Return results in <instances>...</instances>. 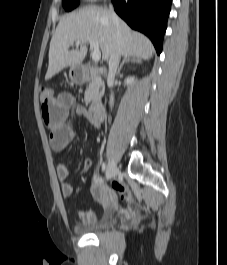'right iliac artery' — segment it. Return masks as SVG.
Listing matches in <instances>:
<instances>
[{
  "label": "right iliac artery",
  "instance_id": "right-iliac-artery-1",
  "mask_svg": "<svg viewBox=\"0 0 227 265\" xmlns=\"http://www.w3.org/2000/svg\"><path fill=\"white\" fill-rule=\"evenodd\" d=\"M105 169H106V165H105V163H103L102 170L105 171ZM107 172H108V167H107V170H106V176H107Z\"/></svg>",
  "mask_w": 227,
  "mask_h": 265
}]
</instances>
